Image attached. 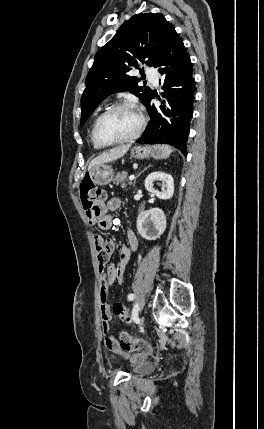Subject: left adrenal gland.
<instances>
[{"label":"left adrenal gland","mask_w":264,"mask_h":429,"mask_svg":"<svg viewBox=\"0 0 264 429\" xmlns=\"http://www.w3.org/2000/svg\"><path fill=\"white\" fill-rule=\"evenodd\" d=\"M152 165L150 164L149 166H147L146 168H144V170H142L139 174H138V176L135 178V181H134V185H135V182H136V179L145 171V170H147V168H149V167H151Z\"/></svg>","instance_id":"a2214340"}]
</instances>
